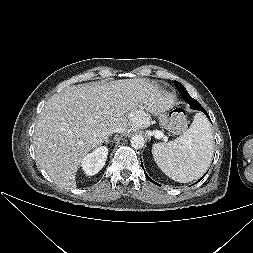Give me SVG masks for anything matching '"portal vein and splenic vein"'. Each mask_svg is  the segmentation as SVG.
<instances>
[{"instance_id": "18ae733b", "label": "portal vein and splenic vein", "mask_w": 253, "mask_h": 253, "mask_svg": "<svg viewBox=\"0 0 253 253\" xmlns=\"http://www.w3.org/2000/svg\"><path fill=\"white\" fill-rule=\"evenodd\" d=\"M155 136H156L157 138H161V137H163V133L160 132V131H156Z\"/></svg>"}]
</instances>
